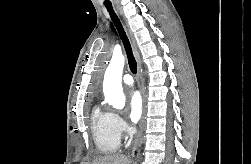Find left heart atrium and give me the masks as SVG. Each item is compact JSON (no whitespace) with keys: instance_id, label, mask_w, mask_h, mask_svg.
Listing matches in <instances>:
<instances>
[{"instance_id":"39dd6f15","label":"left heart atrium","mask_w":251,"mask_h":164,"mask_svg":"<svg viewBox=\"0 0 251 164\" xmlns=\"http://www.w3.org/2000/svg\"><path fill=\"white\" fill-rule=\"evenodd\" d=\"M142 114V100L137 91L128 94V116L132 122H137Z\"/></svg>"}]
</instances>
